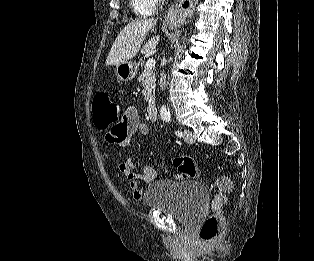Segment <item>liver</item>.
Masks as SVG:
<instances>
[{"label": "liver", "mask_w": 314, "mask_h": 261, "mask_svg": "<svg viewBox=\"0 0 314 261\" xmlns=\"http://www.w3.org/2000/svg\"><path fill=\"white\" fill-rule=\"evenodd\" d=\"M156 22V19H144L126 25L116 37L106 59V65H118L135 57L148 32L155 26ZM158 41L159 36L151 38L142 47L141 52L147 53L154 50Z\"/></svg>", "instance_id": "obj_1"}]
</instances>
